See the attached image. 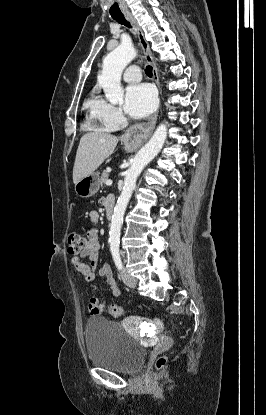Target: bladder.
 Listing matches in <instances>:
<instances>
[{"label": "bladder", "mask_w": 266, "mask_h": 415, "mask_svg": "<svg viewBox=\"0 0 266 415\" xmlns=\"http://www.w3.org/2000/svg\"><path fill=\"white\" fill-rule=\"evenodd\" d=\"M85 343L92 365L117 372L134 373L146 358V349L120 323L102 316L87 320Z\"/></svg>", "instance_id": "31cf9c89"}]
</instances>
